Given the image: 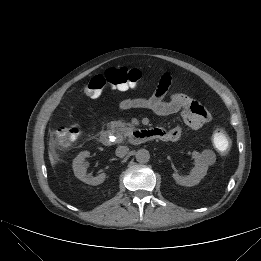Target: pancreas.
<instances>
[{
    "label": "pancreas",
    "mask_w": 261,
    "mask_h": 261,
    "mask_svg": "<svg viewBox=\"0 0 261 261\" xmlns=\"http://www.w3.org/2000/svg\"><path fill=\"white\" fill-rule=\"evenodd\" d=\"M108 126L116 132L119 141H123L132 131L133 125L131 123L122 121H111Z\"/></svg>",
    "instance_id": "pancreas-1"
}]
</instances>
